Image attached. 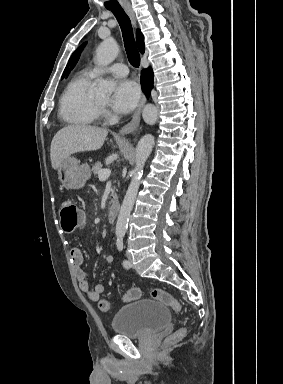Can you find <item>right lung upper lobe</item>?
I'll return each instance as SVG.
<instances>
[{
  "label": "right lung upper lobe",
  "instance_id": "cb5924a9",
  "mask_svg": "<svg viewBox=\"0 0 283 384\" xmlns=\"http://www.w3.org/2000/svg\"><path fill=\"white\" fill-rule=\"evenodd\" d=\"M136 38H137V44H138L139 51L141 53H144V37H143V34L141 33V31L139 29L136 32ZM75 64H76V62L73 64L72 68L75 66Z\"/></svg>",
  "mask_w": 283,
  "mask_h": 384
}]
</instances>
